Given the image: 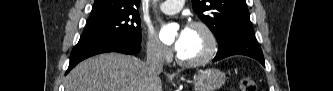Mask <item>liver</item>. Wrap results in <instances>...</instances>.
Here are the masks:
<instances>
[{
	"label": "liver",
	"mask_w": 333,
	"mask_h": 91,
	"mask_svg": "<svg viewBox=\"0 0 333 91\" xmlns=\"http://www.w3.org/2000/svg\"><path fill=\"white\" fill-rule=\"evenodd\" d=\"M65 91H162L145 63L133 56L101 54L78 64L66 77Z\"/></svg>",
	"instance_id": "liver-1"
}]
</instances>
